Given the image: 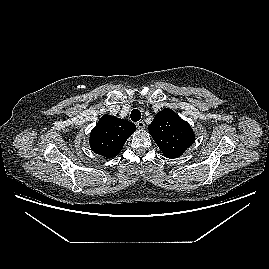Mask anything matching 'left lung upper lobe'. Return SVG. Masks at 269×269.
<instances>
[{"label": "left lung upper lobe", "mask_w": 269, "mask_h": 269, "mask_svg": "<svg viewBox=\"0 0 269 269\" xmlns=\"http://www.w3.org/2000/svg\"><path fill=\"white\" fill-rule=\"evenodd\" d=\"M148 130L167 158L180 157L194 142L195 135L188 122L168 108L156 114Z\"/></svg>", "instance_id": "left-lung-upper-lobe-1"}]
</instances>
